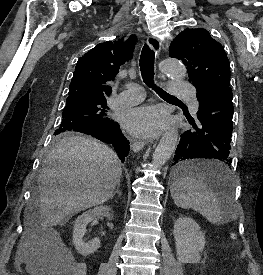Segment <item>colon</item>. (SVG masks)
Returning <instances> with one entry per match:
<instances>
[{
    "label": "colon",
    "instance_id": "5ec220e1",
    "mask_svg": "<svg viewBox=\"0 0 263 275\" xmlns=\"http://www.w3.org/2000/svg\"><path fill=\"white\" fill-rule=\"evenodd\" d=\"M49 254L51 256V272L60 275H81V264L72 261L64 251L58 246H51L49 248Z\"/></svg>",
    "mask_w": 263,
    "mask_h": 275
}]
</instances>
